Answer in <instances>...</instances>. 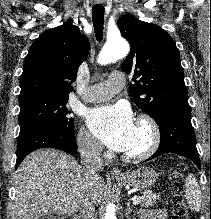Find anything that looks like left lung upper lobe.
<instances>
[{
	"instance_id": "obj_1",
	"label": "left lung upper lobe",
	"mask_w": 211,
	"mask_h": 219,
	"mask_svg": "<svg viewBox=\"0 0 211 219\" xmlns=\"http://www.w3.org/2000/svg\"><path fill=\"white\" fill-rule=\"evenodd\" d=\"M117 25L131 45L122 63L126 73L134 70L129 87L135 104L157 121L171 107H189L188 92L179 51L172 37L161 27L122 16Z\"/></svg>"
}]
</instances>
